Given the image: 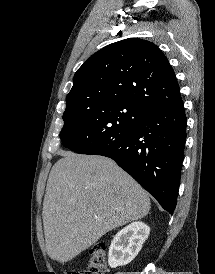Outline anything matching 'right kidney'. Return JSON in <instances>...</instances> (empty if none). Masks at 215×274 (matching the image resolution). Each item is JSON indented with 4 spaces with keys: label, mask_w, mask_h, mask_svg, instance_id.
Masks as SVG:
<instances>
[{
    "label": "right kidney",
    "mask_w": 215,
    "mask_h": 274,
    "mask_svg": "<svg viewBox=\"0 0 215 274\" xmlns=\"http://www.w3.org/2000/svg\"><path fill=\"white\" fill-rule=\"evenodd\" d=\"M150 228L143 222H133L121 229L109 247L108 263L111 268L130 263L139 253Z\"/></svg>",
    "instance_id": "right-kidney-1"
}]
</instances>
